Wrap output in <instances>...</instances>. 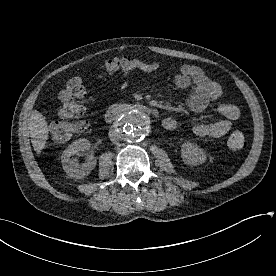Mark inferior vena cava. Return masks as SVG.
<instances>
[{
  "mask_svg": "<svg viewBox=\"0 0 276 276\" xmlns=\"http://www.w3.org/2000/svg\"><path fill=\"white\" fill-rule=\"evenodd\" d=\"M120 133L115 129L109 131V138L113 143H117L120 140Z\"/></svg>",
  "mask_w": 276,
  "mask_h": 276,
  "instance_id": "obj_1",
  "label": "inferior vena cava"
}]
</instances>
